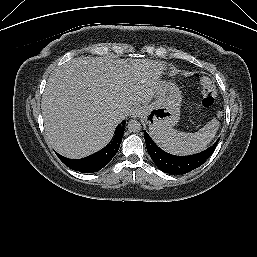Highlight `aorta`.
Segmentation results:
<instances>
[{
    "mask_svg": "<svg viewBox=\"0 0 257 257\" xmlns=\"http://www.w3.org/2000/svg\"><path fill=\"white\" fill-rule=\"evenodd\" d=\"M127 128L132 133H137L141 130V123L137 120H131L128 122Z\"/></svg>",
    "mask_w": 257,
    "mask_h": 257,
    "instance_id": "aorta-1",
    "label": "aorta"
}]
</instances>
